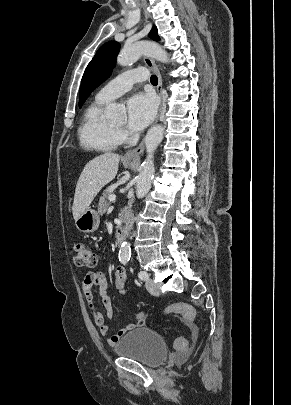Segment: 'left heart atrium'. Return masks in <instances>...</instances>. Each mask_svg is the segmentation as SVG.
I'll list each match as a JSON object with an SVG mask.
<instances>
[{
  "mask_svg": "<svg viewBox=\"0 0 291 405\" xmlns=\"http://www.w3.org/2000/svg\"><path fill=\"white\" fill-rule=\"evenodd\" d=\"M156 102L152 95L139 93L127 102V126L131 132H140L153 120Z\"/></svg>",
  "mask_w": 291,
  "mask_h": 405,
  "instance_id": "left-heart-atrium-1",
  "label": "left heart atrium"
}]
</instances>
